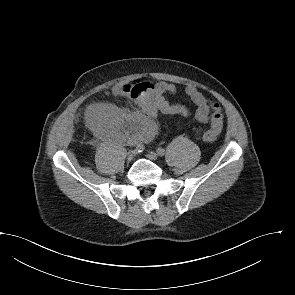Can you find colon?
Returning a JSON list of instances; mask_svg holds the SVG:
<instances>
[{
	"instance_id": "5ec220e1",
	"label": "colon",
	"mask_w": 295,
	"mask_h": 295,
	"mask_svg": "<svg viewBox=\"0 0 295 295\" xmlns=\"http://www.w3.org/2000/svg\"><path fill=\"white\" fill-rule=\"evenodd\" d=\"M220 115H221L220 107L218 104L214 103L212 116L214 119H218ZM203 138L207 142H212L215 140L216 136L210 132H205V134L203 135Z\"/></svg>"
}]
</instances>
